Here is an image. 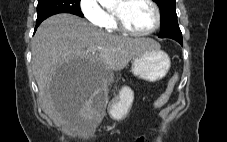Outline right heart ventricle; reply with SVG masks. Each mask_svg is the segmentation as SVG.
<instances>
[{
    "label": "right heart ventricle",
    "instance_id": "obj_1",
    "mask_svg": "<svg viewBox=\"0 0 227 142\" xmlns=\"http://www.w3.org/2000/svg\"><path fill=\"white\" fill-rule=\"evenodd\" d=\"M102 27L107 32H110V33H115V32H118L119 31V29L117 28V26L115 24V21H114L112 12H106V19H105V22L102 25Z\"/></svg>",
    "mask_w": 227,
    "mask_h": 142
}]
</instances>
